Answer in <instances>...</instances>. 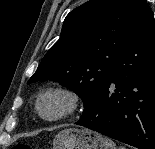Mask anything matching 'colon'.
I'll return each mask as SVG.
<instances>
[{"instance_id": "5ec220e1", "label": "colon", "mask_w": 155, "mask_h": 149, "mask_svg": "<svg viewBox=\"0 0 155 149\" xmlns=\"http://www.w3.org/2000/svg\"><path fill=\"white\" fill-rule=\"evenodd\" d=\"M13 149H35V146L30 144H16Z\"/></svg>"}]
</instances>
